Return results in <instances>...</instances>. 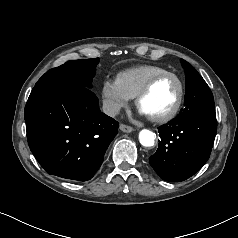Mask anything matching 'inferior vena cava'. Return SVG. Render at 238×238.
<instances>
[{
	"instance_id": "obj_1",
	"label": "inferior vena cava",
	"mask_w": 238,
	"mask_h": 238,
	"mask_svg": "<svg viewBox=\"0 0 238 238\" xmlns=\"http://www.w3.org/2000/svg\"><path fill=\"white\" fill-rule=\"evenodd\" d=\"M120 109V105L111 100H105L103 102V112L108 116H116L117 114H119Z\"/></svg>"
}]
</instances>
